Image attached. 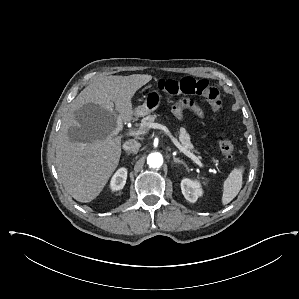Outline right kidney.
<instances>
[{
  "label": "right kidney",
  "mask_w": 299,
  "mask_h": 299,
  "mask_svg": "<svg viewBox=\"0 0 299 299\" xmlns=\"http://www.w3.org/2000/svg\"><path fill=\"white\" fill-rule=\"evenodd\" d=\"M126 179H127V169L126 168L118 169L111 179L110 182L111 190L117 191L123 189L126 183Z\"/></svg>",
  "instance_id": "obj_1"
}]
</instances>
